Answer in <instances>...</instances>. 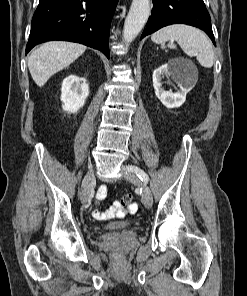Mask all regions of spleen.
I'll return each mask as SVG.
<instances>
[{
	"instance_id": "3e777b00",
	"label": "spleen",
	"mask_w": 247,
	"mask_h": 296,
	"mask_svg": "<svg viewBox=\"0 0 247 296\" xmlns=\"http://www.w3.org/2000/svg\"><path fill=\"white\" fill-rule=\"evenodd\" d=\"M151 40L165 47V42L176 41L188 56H196L200 65L211 68L214 64V51L210 40L199 29L183 24L164 27L151 36ZM172 47V45H169Z\"/></svg>"
}]
</instances>
